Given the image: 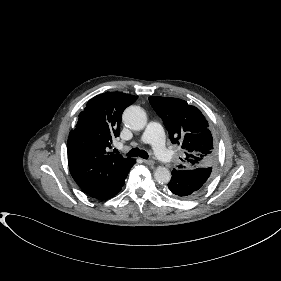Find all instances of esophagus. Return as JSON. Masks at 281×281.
<instances>
[{"instance_id":"obj_1","label":"esophagus","mask_w":281,"mask_h":281,"mask_svg":"<svg viewBox=\"0 0 281 281\" xmlns=\"http://www.w3.org/2000/svg\"><path fill=\"white\" fill-rule=\"evenodd\" d=\"M143 162L147 165H153L154 164L153 160H148V159H144Z\"/></svg>"}]
</instances>
